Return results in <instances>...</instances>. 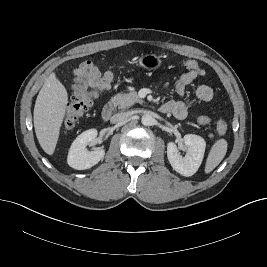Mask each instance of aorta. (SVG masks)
Wrapping results in <instances>:
<instances>
[{
    "label": "aorta",
    "mask_w": 267,
    "mask_h": 267,
    "mask_svg": "<svg viewBox=\"0 0 267 267\" xmlns=\"http://www.w3.org/2000/svg\"><path fill=\"white\" fill-rule=\"evenodd\" d=\"M141 123L144 126H151L154 123V118L150 114H144L141 118Z\"/></svg>",
    "instance_id": "aorta-1"
}]
</instances>
